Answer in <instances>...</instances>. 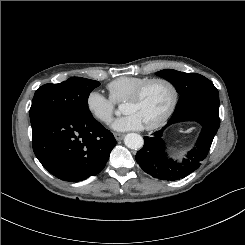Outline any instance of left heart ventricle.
<instances>
[{
  "label": "left heart ventricle",
  "mask_w": 245,
  "mask_h": 245,
  "mask_svg": "<svg viewBox=\"0 0 245 245\" xmlns=\"http://www.w3.org/2000/svg\"><path fill=\"white\" fill-rule=\"evenodd\" d=\"M171 100L172 93L168 86L153 83L145 89L138 101L126 102L123 106V113L137 115L146 126L156 122L166 113Z\"/></svg>",
  "instance_id": "obj_1"
}]
</instances>
